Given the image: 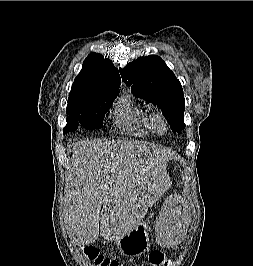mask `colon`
I'll list each match as a JSON object with an SVG mask.
<instances>
[{
	"mask_svg": "<svg viewBox=\"0 0 253 266\" xmlns=\"http://www.w3.org/2000/svg\"><path fill=\"white\" fill-rule=\"evenodd\" d=\"M83 255L95 266H120L116 259L106 257L98 252L93 246H83L81 248ZM148 260L152 266H169L170 260L161 251H152L149 253Z\"/></svg>",
	"mask_w": 253,
	"mask_h": 266,
	"instance_id": "colon-1",
	"label": "colon"
}]
</instances>
